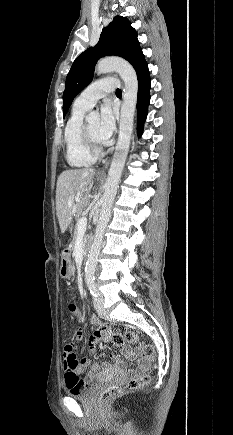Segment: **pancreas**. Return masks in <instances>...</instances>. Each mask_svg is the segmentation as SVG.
<instances>
[{"mask_svg": "<svg viewBox=\"0 0 233 435\" xmlns=\"http://www.w3.org/2000/svg\"><path fill=\"white\" fill-rule=\"evenodd\" d=\"M77 235H78V230H77V225H76L74 236H73V241H72V250L74 249V244H75V240H76ZM87 240H88V235L84 234V237H83V247H84L85 253H86V250H87L86 247H87V244H88Z\"/></svg>", "mask_w": 233, "mask_h": 435, "instance_id": "cf45deb5", "label": "pancreas"}]
</instances>
